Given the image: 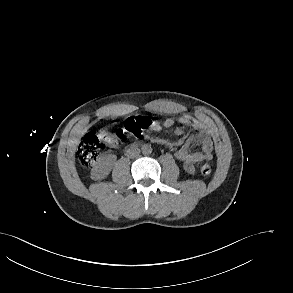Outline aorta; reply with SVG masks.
Segmentation results:
<instances>
[{
  "mask_svg": "<svg viewBox=\"0 0 293 293\" xmlns=\"http://www.w3.org/2000/svg\"><path fill=\"white\" fill-rule=\"evenodd\" d=\"M142 153H143L144 155H149V154H151V153H152V147H151L150 145H147V144L143 145V146H142Z\"/></svg>",
  "mask_w": 293,
  "mask_h": 293,
  "instance_id": "1",
  "label": "aorta"
}]
</instances>
